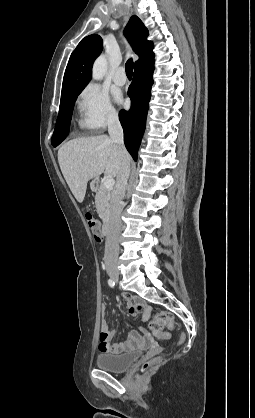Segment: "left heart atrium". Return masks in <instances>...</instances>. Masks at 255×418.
Here are the masks:
<instances>
[{
	"instance_id": "39dd6f15",
	"label": "left heart atrium",
	"mask_w": 255,
	"mask_h": 418,
	"mask_svg": "<svg viewBox=\"0 0 255 418\" xmlns=\"http://www.w3.org/2000/svg\"><path fill=\"white\" fill-rule=\"evenodd\" d=\"M118 100H120V101H121V98H120V97H118Z\"/></svg>"
}]
</instances>
